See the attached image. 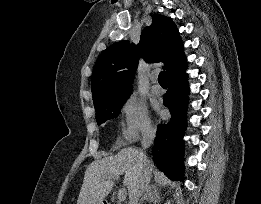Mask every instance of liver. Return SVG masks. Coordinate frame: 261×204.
Wrapping results in <instances>:
<instances>
[{
    "label": "liver",
    "instance_id": "6515ba94",
    "mask_svg": "<svg viewBox=\"0 0 261 204\" xmlns=\"http://www.w3.org/2000/svg\"><path fill=\"white\" fill-rule=\"evenodd\" d=\"M150 176L153 163L148 160ZM144 174L143 156L135 148L122 149L117 155L93 161L86 169L77 204H103L114 182L109 176L124 175V185L129 197L140 183Z\"/></svg>",
    "mask_w": 261,
    "mask_h": 204
}]
</instances>
